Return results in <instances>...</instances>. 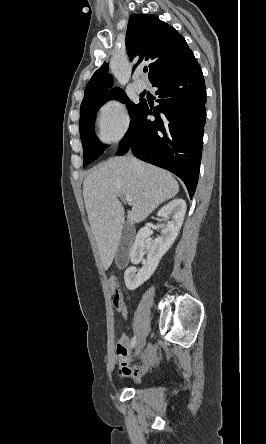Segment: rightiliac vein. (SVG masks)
I'll return each mask as SVG.
<instances>
[{
    "mask_svg": "<svg viewBox=\"0 0 266 444\" xmlns=\"http://www.w3.org/2000/svg\"><path fill=\"white\" fill-rule=\"evenodd\" d=\"M145 345V340L143 338H140L137 341L136 347H135V356H138L141 351L143 350V347Z\"/></svg>",
    "mask_w": 266,
    "mask_h": 444,
    "instance_id": "obj_1",
    "label": "right iliac vein"
}]
</instances>
